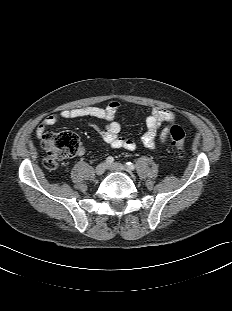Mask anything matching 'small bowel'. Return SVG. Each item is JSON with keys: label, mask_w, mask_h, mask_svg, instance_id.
I'll use <instances>...</instances> for the list:
<instances>
[{"label": "small bowel", "mask_w": 232, "mask_h": 311, "mask_svg": "<svg viewBox=\"0 0 232 311\" xmlns=\"http://www.w3.org/2000/svg\"><path fill=\"white\" fill-rule=\"evenodd\" d=\"M120 109V103L117 101L110 102L106 107L95 105L84 106L79 108L64 109L60 112L46 116L36 129L38 138L43 139L47 134L48 127L55 125L62 119H74L80 117H93L104 120L103 126L92 123L91 126L99 133L105 143L113 148H122L133 151L137 148L134 140L120 135L121 125L115 121V115ZM175 114L167 109L152 107L146 114L145 131L141 135V143L148 149L156 147L157 139L161 143L168 140L169 131L167 128L160 129L164 122H173ZM79 155L84 154V148H80Z\"/></svg>", "instance_id": "c3829d8e"}]
</instances>
